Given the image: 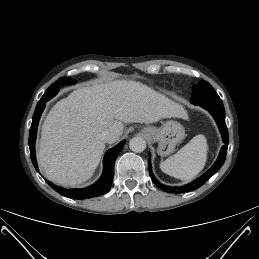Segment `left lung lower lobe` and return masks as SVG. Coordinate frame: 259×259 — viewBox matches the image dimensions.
Instances as JSON below:
<instances>
[{"mask_svg":"<svg viewBox=\"0 0 259 259\" xmlns=\"http://www.w3.org/2000/svg\"><path fill=\"white\" fill-rule=\"evenodd\" d=\"M195 105H200L203 108L207 109L215 118L218 127L220 129V132L222 133L223 141L225 145L222 147L219 157L215 164L201 177L194 180L193 182L182 186V187H171L161 184L153 175L152 167H151V161L148 160L149 163V173L151 176L152 181L162 190L169 192V193H183L188 192L194 189H197L201 187L224 163L226 154H227V148H228V131L225 123V109L221 102H212V103H199Z\"/></svg>","mask_w":259,"mask_h":259,"instance_id":"obj_1","label":"left lung lower lobe"}]
</instances>
